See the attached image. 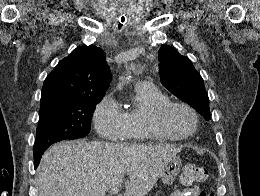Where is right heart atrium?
Segmentation results:
<instances>
[{
    "instance_id": "obj_1",
    "label": "right heart atrium",
    "mask_w": 260,
    "mask_h": 196,
    "mask_svg": "<svg viewBox=\"0 0 260 196\" xmlns=\"http://www.w3.org/2000/svg\"><path fill=\"white\" fill-rule=\"evenodd\" d=\"M93 121L100 136L93 143H113L116 131L126 126L124 111L112 94L104 95L95 105Z\"/></svg>"
}]
</instances>
